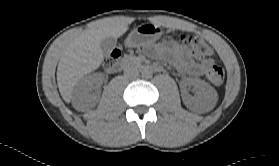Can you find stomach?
Here are the masks:
<instances>
[{
    "label": "stomach",
    "instance_id": "0dacf381",
    "mask_svg": "<svg viewBox=\"0 0 279 166\" xmlns=\"http://www.w3.org/2000/svg\"><path fill=\"white\" fill-rule=\"evenodd\" d=\"M163 31L161 27L155 24H142L136 27L127 36L125 46L128 48H136L142 46H153L160 39Z\"/></svg>",
    "mask_w": 279,
    "mask_h": 166
}]
</instances>
